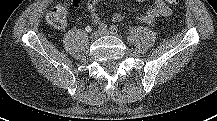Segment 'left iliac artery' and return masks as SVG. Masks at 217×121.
Masks as SVG:
<instances>
[{
    "label": "left iliac artery",
    "mask_w": 217,
    "mask_h": 121,
    "mask_svg": "<svg viewBox=\"0 0 217 121\" xmlns=\"http://www.w3.org/2000/svg\"><path fill=\"white\" fill-rule=\"evenodd\" d=\"M109 31L112 32L113 34H116L118 32V27L116 25H111L109 27Z\"/></svg>",
    "instance_id": "44dca946"
}]
</instances>
